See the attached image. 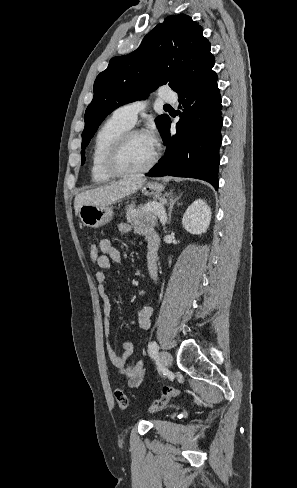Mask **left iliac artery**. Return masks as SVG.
Masks as SVG:
<instances>
[{
  "label": "left iliac artery",
  "mask_w": 297,
  "mask_h": 488,
  "mask_svg": "<svg viewBox=\"0 0 297 488\" xmlns=\"http://www.w3.org/2000/svg\"><path fill=\"white\" fill-rule=\"evenodd\" d=\"M148 351L151 357L156 358L158 356V345L155 341L150 342Z\"/></svg>",
  "instance_id": "44dca946"
}]
</instances>
